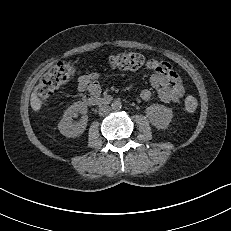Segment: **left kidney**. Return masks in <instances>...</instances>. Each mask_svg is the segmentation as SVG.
Listing matches in <instances>:
<instances>
[{"mask_svg":"<svg viewBox=\"0 0 231 231\" xmlns=\"http://www.w3.org/2000/svg\"><path fill=\"white\" fill-rule=\"evenodd\" d=\"M151 124L158 129H166L172 120L173 113L164 105L152 104L145 111Z\"/></svg>","mask_w":231,"mask_h":231,"instance_id":"1","label":"left kidney"}]
</instances>
